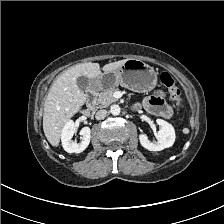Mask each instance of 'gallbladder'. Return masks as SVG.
Here are the masks:
<instances>
[{
	"mask_svg": "<svg viewBox=\"0 0 224 224\" xmlns=\"http://www.w3.org/2000/svg\"><path fill=\"white\" fill-rule=\"evenodd\" d=\"M78 88L82 92H87L88 87L90 85V80L86 76H79L76 80Z\"/></svg>",
	"mask_w": 224,
	"mask_h": 224,
	"instance_id": "obj_1",
	"label": "gallbladder"
}]
</instances>
